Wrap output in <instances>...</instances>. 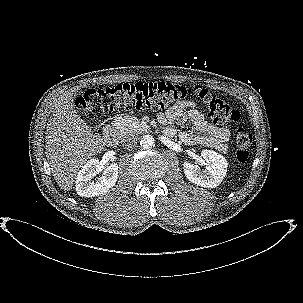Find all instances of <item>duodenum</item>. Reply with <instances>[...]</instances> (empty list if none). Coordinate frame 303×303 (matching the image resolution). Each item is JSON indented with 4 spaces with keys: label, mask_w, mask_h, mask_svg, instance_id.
I'll return each mask as SVG.
<instances>
[{
    "label": "duodenum",
    "mask_w": 303,
    "mask_h": 303,
    "mask_svg": "<svg viewBox=\"0 0 303 303\" xmlns=\"http://www.w3.org/2000/svg\"><path fill=\"white\" fill-rule=\"evenodd\" d=\"M105 140L109 146H115L118 142V135L115 131L108 130Z\"/></svg>",
    "instance_id": "duodenum-1"
}]
</instances>
